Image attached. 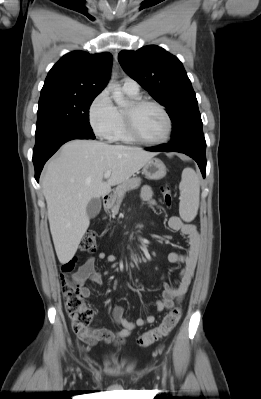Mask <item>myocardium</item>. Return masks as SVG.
Listing matches in <instances>:
<instances>
[{
    "instance_id": "myocardium-1",
    "label": "myocardium",
    "mask_w": 261,
    "mask_h": 399,
    "mask_svg": "<svg viewBox=\"0 0 261 399\" xmlns=\"http://www.w3.org/2000/svg\"><path fill=\"white\" fill-rule=\"evenodd\" d=\"M130 108L123 110V120H124V127L127 135L136 142L146 145H161L168 142L173 133V121L172 118L167 111V109L159 102L151 99H143V98H136L130 102ZM154 106L158 108L164 115L166 122H167V131L163 138L159 140H149L143 137L135 123L134 113L136 110L144 107V106Z\"/></svg>"
}]
</instances>
